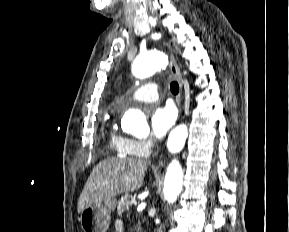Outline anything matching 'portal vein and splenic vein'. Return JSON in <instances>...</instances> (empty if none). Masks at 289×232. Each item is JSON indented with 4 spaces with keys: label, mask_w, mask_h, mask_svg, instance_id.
Instances as JSON below:
<instances>
[{
    "label": "portal vein and splenic vein",
    "mask_w": 289,
    "mask_h": 232,
    "mask_svg": "<svg viewBox=\"0 0 289 232\" xmlns=\"http://www.w3.org/2000/svg\"><path fill=\"white\" fill-rule=\"evenodd\" d=\"M136 203H137V202H136L135 199H132V200H131V204L136 205Z\"/></svg>",
    "instance_id": "obj_1"
}]
</instances>
